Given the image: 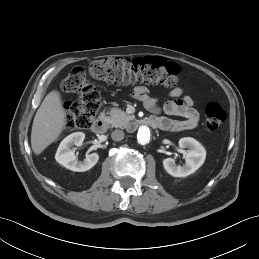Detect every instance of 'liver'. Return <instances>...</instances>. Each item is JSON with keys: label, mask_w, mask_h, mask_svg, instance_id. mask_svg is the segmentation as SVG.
I'll list each match as a JSON object with an SVG mask.
<instances>
[{"label": "liver", "mask_w": 259, "mask_h": 259, "mask_svg": "<svg viewBox=\"0 0 259 259\" xmlns=\"http://www.w3.org/2000/svg\"><path fill=\"white\" fill-rule=\"evenodd\" d=\"M60 93L52 90L38 108L32 125L31 147L40 155L65 128L67 118Z\"/></svg>", "instance_id": "6515ba94"}]
</instances>
